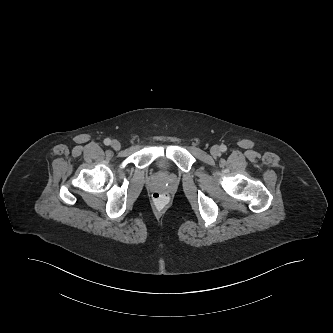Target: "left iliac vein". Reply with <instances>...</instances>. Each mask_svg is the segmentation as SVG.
<instances>
[{"label":"left iliac vein","instance_id":"left-iliac-vein-1","mask_svg":"<svg viewBox=\"0 0 333 333\" xmlns=\"http://www.w3.org/2000/svg\"><path fill=\"white\" fill-rule=\"evenodd\" d=\"M210 153L212 156L216 157L220 155V148L217 145H214L210 149Z\"/></svg>","mask_w":333,"mask_h":333}]
</instances>
